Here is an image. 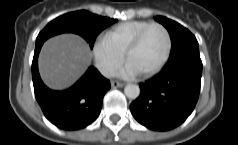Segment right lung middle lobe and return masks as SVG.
I'll list each match as a JSON object with an SVG mask.
<instances>
[{"mask_svg": "<svg viewBox=\"0 0 238 145\" xmlns=\"http://www.w3.org/2000/svg\"><path fill=\"white\" fill-rule=\"evenodd\" d=\"M116 19L101 17L85 10L66 13L54 19L39 33L36 44L54 35L72 32L82 36L92 49L98 34Z\"/></svg>", "mask_w": 238, "mask_h": 145, "instance_id": "right-lung-middle-lobe-1", "label": "right lung middle lobe"}]
</instances>
